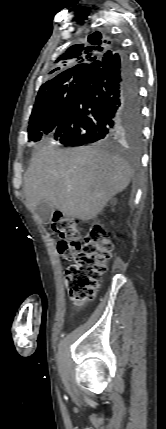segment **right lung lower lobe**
<instances>
[{
	"mask_svg": "<svg viewBox=\"0 0 166 429\" xmlns=\"http://www.w3.org/2000/svg\"><path fill=\"white\" fill-rule=\"evenodd\" d=\"M138 80L127 56L105 53L92 62L53 132L70 146L103 144L120 130L141 126Z\"/></svg>",
	"mask_w": 166,
	"mask_h": 429,
	"instance_id": "right-lung-lower-lobe-1",
	"label": "right lung lower lobe"
}]
</instances>
